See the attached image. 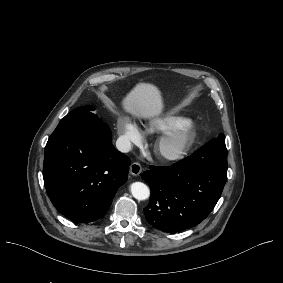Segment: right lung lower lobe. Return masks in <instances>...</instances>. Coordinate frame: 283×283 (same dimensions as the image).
I'll return each mask as SVG.
<instances>
[{
	"label": "right lung lower lobe",
	"mask_w": 283,
	"mask_h": 283,
	"mask_svg": "<svg viewBox=\"0 0 283 283\" xmlns=\"http://www.w3.org/2000/svg\"><path fill=\"white\" fill-rule=\"evenodd\" d=\"M129 165L114 148L107 125L59 124L45 147L44 185L60 213L88 223L106 214Z\"/></svg>",
	"instance_id": "98d812e1"
}]
</instances>
